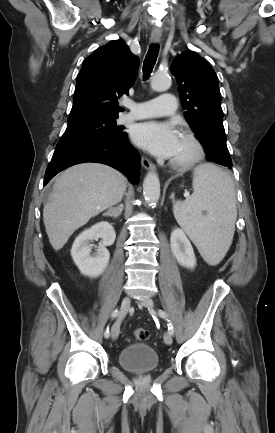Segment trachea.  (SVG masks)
Listing matches in <instances>:
<instances>
[{"label":"trachea","mask_w":275,"mask_h":433,"mask_svg":"<svg viewBox=\"0 0 275 433\" xmlns=\"http://www.w3.org/2000/svg\"><path fill=\"white\" fill-rule=\"evenodd\" d=\"M158 53H159V46L157 44H152L149 47V50L144 60L143 74L145 79H147L150 73L152 72V69L158 57Z\"/></svg>","instance_id":"trachea-1"}]
</instances>
